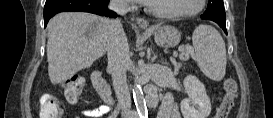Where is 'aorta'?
I'll use <instances>...</instances> for the list:
<instances>
[{
	"instance_id": "obj_1",
	"label": "aorta",
	"mask_w": 273,
	"mask_h": 118,
	"mask_svg": "<svg viewBox=\"0 0 273 118\" xmlns=\"http://www.w3.org/2000/svg\"><path fill=\"white\" fill-rule=\"evenodd\" d=\"M134 82H135V85L133 89V97H134L135 105H136L138 113L140 115H143L147 113V106H146V102H145L143 92L141 89V79H140L139 71L135 76Z\"/></svg>"
}]
</instances>
